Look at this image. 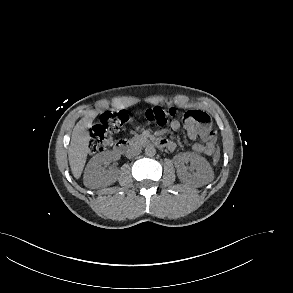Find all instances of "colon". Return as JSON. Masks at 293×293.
<instances>
[{
  "mask_svg": "<svg viewBox=\"0 0 293 293\" xmlns=\"http://www.w3.org/2000/svg\"><path fill=\"white\" fill-rule=\"evenodd\" d=\"M176 111L172 107L154 106L146 109L142 117L154 126L165 125ZM127 115L124 111H108L101 115L100 120L95 124L90 132L89 151L93 154L99 153L112 142V133L117 132L125 122ZM200 116L195 111H188L184 115L186 123L199 122ZM221 152L217 149L213 155V163L220 160Z\"/></svg>",
  "mask_w": 293,
  "mask_h": 293,
  "instance_id": "1",
  "label": "colon"
}]
</instances>
